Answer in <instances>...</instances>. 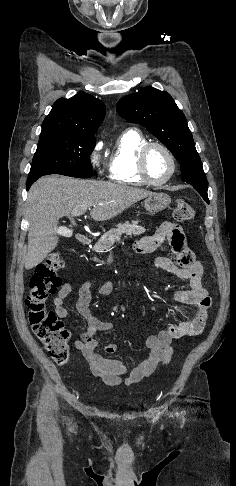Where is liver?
<instances>
[{
    "instance_id": "1",
    "label": "liver",
    "mask_w": 236,
    "mask_h": 486,
    "mask_svg": "<svg viewBox=\"0 0 236 486\" xmlns=\"http://www.w3.org/2000/svg\"><path fill=\"white\" fill-rule=\"evenodd\" d=\"M153 192L127 185L59 175L37 180L27 197V270L40 264L58 244V222L75 209L91 208L95 221L112 219Z\"/></svg>"
}]
</instances>
